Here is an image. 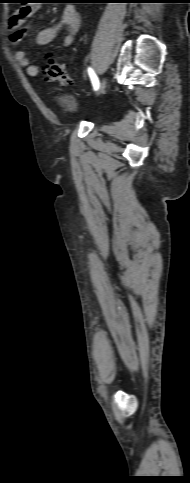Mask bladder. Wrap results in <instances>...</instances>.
Returning a JSON list of instances; mask_svg holds the SVG:
<instances>
[{"mask_svg": "<svg viewBox=\"0 0 190 483\" xmlns=\"http://www.w3.org/2000/svg\"><path fill=\"white\" fill-rule=\"evenodd\" d=\"M57 106L64 112L74 113L79 110V102L71 95H61L56 98Z\"/></svg>", "mask_w": 190, "mask_h": 483, "instance_id": "31cf9c89", "label": "bladder"}]
</instances>
